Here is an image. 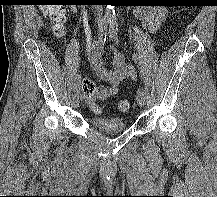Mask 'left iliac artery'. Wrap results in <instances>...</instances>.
<instances>
[{
	"instance_id": "obj_1",
	"label": "left iliac artery",
	"mask_w": 217,
	"mask_h": 197,
	"mask_svg": "<svg viewBox=\"0 0 217 197\" xmlns=\"http://www.w3.org/2000/svg\"><path fill=\"white\" fill-rule=\"evenodd\" d=\"M109 36L112 40H117L118 38V24L116 22H111L109 27ZM132 59L135 63L141 64L143 62V57L138 54H133Z\"/></svg>"
}]
</instances>
